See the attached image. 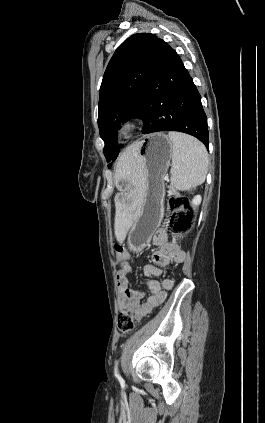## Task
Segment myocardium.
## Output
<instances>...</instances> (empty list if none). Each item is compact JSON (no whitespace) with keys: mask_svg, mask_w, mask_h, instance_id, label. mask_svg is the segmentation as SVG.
I'll return each instance as SVG.
<instances>
[{"mask_svg":"<svg viewBox=\"0 0 265 423\" xmlns=\"http://www.w3.org/2000/svg\"><path fill=\"white\" fill-rule=\"evenodd\" d=\"M138 128L139 124L136 121H124L117 127V136L121 140H129L135 135Z\"/></svg>","mask_w":265,"mask_h":423,"instance_id":"1","label":"myocardium"}]
</instances>
